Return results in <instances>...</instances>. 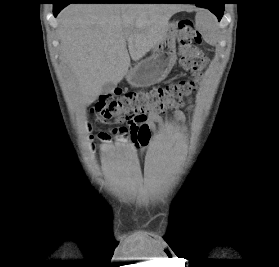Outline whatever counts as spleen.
I'll use <instances>...</instances> for the list:
<instances>
[{"label": "spleen", "mask_w": 279, "mask_h": 267, "mask_svg": "<svg viewBox=\"0 0 279 267\" xmlns=\"http://www.w3.org/2000/svg\"><path fill=\"white\" fill-rule=\"evenodd\" d=\"M197 27L211 43L216 42V24L209 13H201L197 16Z\"/></svg>", "instance_id": "spleen-1"}]
</instances>
